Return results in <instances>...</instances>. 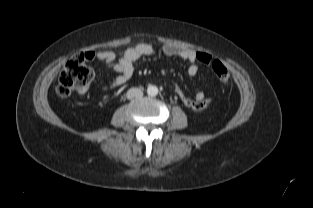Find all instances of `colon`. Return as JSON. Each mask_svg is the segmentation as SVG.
Segmentation results:
<instances>
[{
  "label": "colon",
  "instance_id": "colon-1",
  "mask_svg": "<svg viewBox=\"0 0 313 208\" xmlns=\"http://www.w3.org/2000/svg\"><path fill=\"white\" fill-rule=\"evenodd\" d=\"M196 56L200 63L211 65L216 77L222 84H227L230 81V74L220 60L213 59L212 56L205 52H197ZM90 57L89 54L83 53L74 56L66 63L60 73L56 88L59 97L66 98L74 90H83L90 84L94 77L93 70L87 64V60ZM176 93L187 107L194 110L204 109L210 103V99L207 98L200 102L191 99L180 88L176 89Z\"/></svg>",
  "mask_w": 313,
  "mask_h": 208
}]
</instances>
